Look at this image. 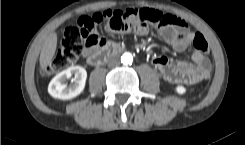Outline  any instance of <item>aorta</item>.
I'll return each instance as SVG.
<instances>
[{
	"instance_id": "1",
	"label": "aorta",
	"mask_w": 245,
	"mask_h": 145,
	"mask_svg": "<svg viewBox=\"0 0 245 145\" xmlns=\"http://www.w3.org/2000/svg\"><path fill=\"white\" fill-rule=\"evenodd\" d=\"M133 56L131 53L126 52L121 56V62L125 65L132 64Z\"/></svg>"
}]
</instances>
